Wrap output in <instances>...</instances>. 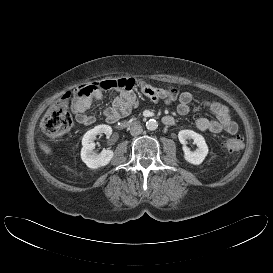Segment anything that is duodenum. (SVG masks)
<instances>
[{
    "label": "duodenum",
    "instance_id": "410a0bca",
    "mask_svg": "<svg viewBox=\"0 0 273 273\" xmlns=\"http://www.w3.org/2000/svg\"><path fill=\"white\" fill-rule=\"evenodd\" d=\"M162 122L165 124L166 120L165 118L162 119ZM136 124V120H133V119H126V120H123L119 123H117V126L119 128H127V127H130L132 125H135Z\"/></svg>",
    "mask_w": 273,
    "mask_h": 273
}]
</instances>
